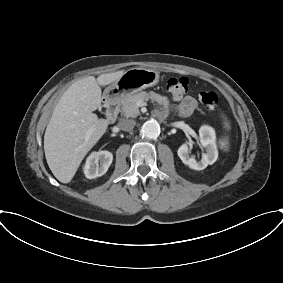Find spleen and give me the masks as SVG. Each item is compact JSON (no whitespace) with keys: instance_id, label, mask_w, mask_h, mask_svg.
<instances>
[{"instance_id":"1","label":"spleen","mask_w":283,"mask_h":283,"mask_svg":"<svg viewBox=\"0 0 283 283\" xmlns=\"http://www.w3.org/2000/svg\"><path fill=\"white\" fill-rule=\"evenodd\" d=\"M224 128L225 129H230V124L227 120L224 121ZM219 144H220V148L227 151L228 148H229V142H228V139L227 138H223L219 141Z\"/></svg>"}]
</instances>
